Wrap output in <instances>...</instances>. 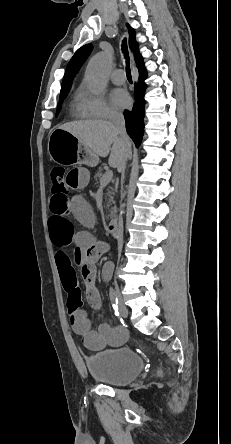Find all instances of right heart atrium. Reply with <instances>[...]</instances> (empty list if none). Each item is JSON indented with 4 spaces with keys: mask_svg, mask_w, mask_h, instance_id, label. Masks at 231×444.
Returning <instances> with one entry per match:
<instances>
[{
    "mask_svg": "<svg viewBox=\"0 0 231 444\" xmlns=\"http://www.w3.org/2000/svg\"><path fill=\"white\" fill-rule=\"evenodd\" d=\"M79 109L85 117L90 118L109 119L119 116L103 94H95L86 89L81 90Z\"/></svg>",
    "mask_w": 231,
    "mask_h": 444,
    "instance_id": "obj_1",
    "label": "right heart atrium"
}]
</instances>
